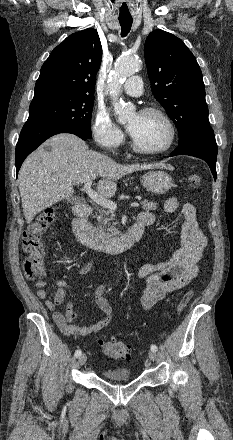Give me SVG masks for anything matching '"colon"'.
<instances>
[{"label": "colon", "mask_w": 233, "mask_h": 440, "mask_svg": "<svg viewBox=\"0 0 233 440\" xmlns=\"http://www.w3.org/2000/svg\"><path fill=\"white\" fill-rule=\"evenodd\" d=\"M188 182L191 187L197 188L201 184V178L197 174H192ZM55 220L56 210L54 208H46L23 233L22 248L26 254L23 270L29 279H35L44 275L45 246L42 235ZM192 297V291L183 294L178 303L177 311L181 312L189 304ZM97 344L102 352L110 358L129 360L133 356L132 349L122 341L98 339Z\"/></svg>", "instance_id": "obj_1"}]
</instances>
